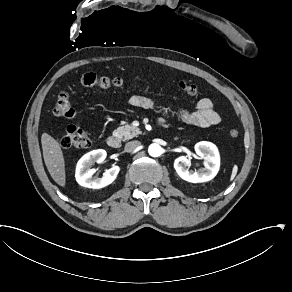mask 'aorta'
Returning <instances> with one entry per match:
<instances>
[{
	"label": "aorta",
	"mask_w": 292,
	"mask_h": 292,
	"mask_svg": "<svg viewBox=\"0 0 292 292\" xmlns=\"http://www.w3.org/2000/svg\"><path fill=\"white\" fill-rule=\"evenodd\" d=\"M148 152L153 157H158L162 153V148L159 144L153 143L149 146Z\"/></svg>",
	"instance_id": "1"
}]
</instances>
